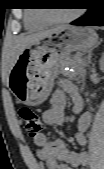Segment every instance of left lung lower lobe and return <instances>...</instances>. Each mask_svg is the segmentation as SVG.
<instances>
[{
	"instance_id": "obj_1",
	"label": "left lung lower lobe",
	"mask_w": 104,
	"mask_h": 169,
	"mask_svg": "<svg viewBox=\"0 0 104 169\" xmlns=\"http://www.w3.org/2000/svg\"><path fill=\"white\" fill-rule=\"evenodd\" d=\"M91 8L81 18L73 21L72 25L79 26H104V8L101 3H92Z\"/></svg>"
}]
</instances>
